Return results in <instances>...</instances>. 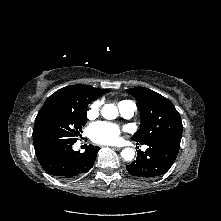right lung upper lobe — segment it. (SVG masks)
Segmentation results:
<instances>
[{
    "label": "right lung upper lobe",
    "instance_id": "cb5924a9",
    "mask_svg": "<svg viewBox=\"0 0 221 221\" xmlns=\"http://www.w3.org/2000/svg\"><path fill=\"white\" fill-rule=\"evenodd\" d=\"M106 89H97L88 85L76 84L59 89L52 96H59L66 100L69 104H77L85 100L88 103L106 93Z\"/></svg>",
    "mask_w": 221,
    "mask_h": 221
}]
</instances>
